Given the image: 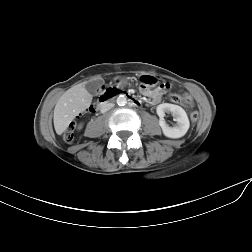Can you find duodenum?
<instances>
[{"mask_svg":"<svg viewBox=\"0 0 252 252\" xmlns=\"http://www.w3.org/2000/svg\"><path fill=\"white\" fill-rule=\"evenodd\" d=\"M118 95H124L125 97H127V99L129 100V102L133 106H135V107H139L140 106V102L136 98H134L133 96H131L130 94H128L126 91L118 90V91L112 93L111 95L101 96L99 98V100H98V106H99V108H103L110 99H112V98H114V97H116Z\"/></svg>","mask_w":252,"mask_h":252,"instance_id":"duodenum-1","label":"duodenum"}]
</instances>
